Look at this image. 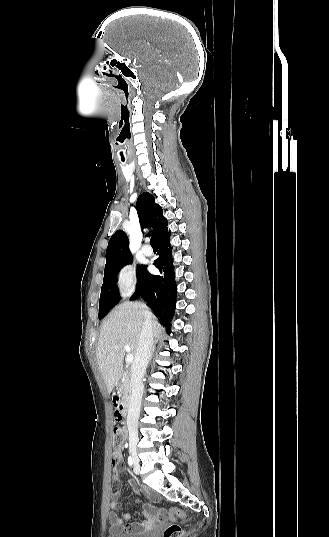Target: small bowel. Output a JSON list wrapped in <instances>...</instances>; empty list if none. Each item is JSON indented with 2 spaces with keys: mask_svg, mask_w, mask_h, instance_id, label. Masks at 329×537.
<instances>
[{
  "mask_svg": "<svg viewBox=\"0 0 329 537\" xmlns=\"http://www.w3.org/2000/svg\"><path fill=\"white\" fill-rule=\"evenodd\" d=\"M114 417L113 420L115 423L120 424L123 422L124 417L120 413V409L118 407H115L113 409ZM122 462V452L120 448H115L113 451V459H112V466H111V472L113 476H115L118 473L119 465ZM127 486L129 487L130 491L138 495L139 490L137 484L129 480L127 481ZM145 494L152 500H157L155 496L150 494L149 492H145ZM119 490L117 488L116 482L115 485L112 487L111 490V501H110V508L115 509L118 506V499H119ZM166 516V512L162 508H155L150 505H145L142 517V521L138 522H130L131 516L129 514H124L122 518L118 517V515L111 511L108 514V521L111 525V530L114 532H125V533H141L146 532L151 529H153L156 526L157 521L164 519ZM124 521L127 523L124 525Z\"/></svg>",
  "mask_w": 329,
  "mask_h": 537,
  "instance_id": "small-bowel-1",
  "label": "small bowel"
}]
</instances>
